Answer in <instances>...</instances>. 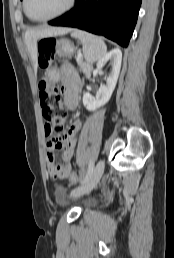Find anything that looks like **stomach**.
Segmentation results:
<instances>
[{
  "instance_id": "1",
  "label": "stomach",
  "mask_w": 174,
  "mask_h": 258,
  "mask_svg": "<svg viewBox=\"0 0 174 258\" xmlns=\"http://www.w3.org/2000/svg\"><path fill=\"white\" fill-rule=\"evenodd\" d=\"M56 53L60 57H71L75 48L72 42L61 39L56 44ZM60 80V72L57 67H49L46 72V82L49 84L57 83Z\"/></svg>"
}]
</instances>
